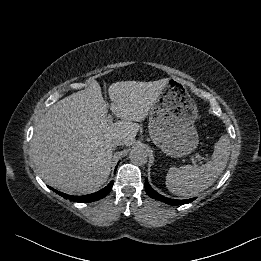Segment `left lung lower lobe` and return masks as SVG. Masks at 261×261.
<instances>
[{
  "label": "left lung lower lobe",
  "mask_w": 261,
  "mask_h": 261,
  "mask_svg": "<svg viewBox=\"0 0 261 261\" xmlns=\"http://www.w3.org/2000/svg\"><path fill=\"white\" fill-rule=\"evenodd\" d=\"M145 190L151 198L165 202L169 205H183V204L190 203L196 199V198H191V199H187V200H175V199L166 198V197L160 195L159 193H157L156 191H154L152 189V187L149 185L147 179L145 180Z\"/></svg>",
  "instance_id": "0a47b994"
}]
</instances>
